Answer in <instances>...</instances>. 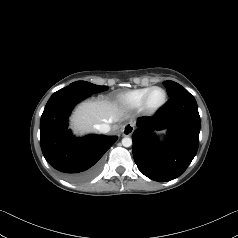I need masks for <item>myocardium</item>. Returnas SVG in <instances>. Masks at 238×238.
Returning <instances> with one entry per match:
<instances>
[{
    "instance_id": "myocardium-1",
    "label": "myocardium",
    "mask_w": 238,
    "mask_h": 238,
    "mask_svg": "<svg viewBox=\"0 0 238 238\" xmlns=\"http://www.w3.org/2000/svg\"><path fill=\"white\" fill-rule=\"evenodd\" d=\"M155 90H161L164 94V99L161 104H159L158 106L152 107L149 103V99H150L151 94ZM167 101H168V94H167L166 90L160 86H153L146 93V95L142 101L141 109L144 113H146L148 115H154V114L158 113L166 105Z\"/></svg>"
}]
</instances>
